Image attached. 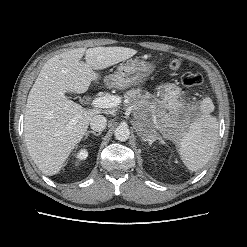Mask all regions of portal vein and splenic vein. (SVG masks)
I'll return each mask as SVG.
<instances>
[{
  "label": "portal vein and splenic vein",
  "mask_w": 247,
  "mask_h": 247,
  "mask_svg": "<svg viewBox=\"0 0 247 247\" xmlns=\"http://www.w3.org/2000/svg\"><path fill=\"white\" fill-rule=\"evenodd\" d=\"M120 103V97L119 96H101L98 98H95L91 105L95 108H112Z\"/></svg>",
  "instance_id": "1"
}]
</instances>
